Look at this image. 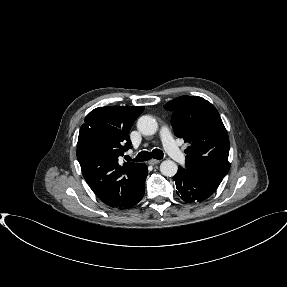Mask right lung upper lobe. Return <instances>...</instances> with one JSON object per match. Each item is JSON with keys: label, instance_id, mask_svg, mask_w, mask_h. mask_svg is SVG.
I'll use <instances>...</instances> for the list:
<instances>
[{"label": "right lung upper lobe", "instance_id": "cb5924a9", "mask_svg": "<svg viewBox=\"0 0 287 287\" xmlns=\"http://www.w3.org/2000/svg\"><path fill=\"white\" fill-rule=\"evenodd\" d=\"M143 106H107L92 110L81 126L77 158L93 192L108 206L125 198L141 173L143 163L118 162L131 146L129 131Z\"/></svg>", "mask_w": 287, "mask_h": 287}]
</instances>
